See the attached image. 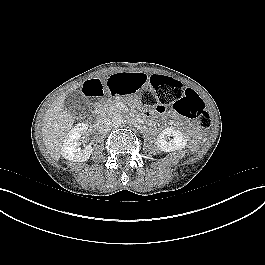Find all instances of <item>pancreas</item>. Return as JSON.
<instances>
[{
	"label": "pancreas",
	"mask_w": 265,
	"mask_h": 265,
	"mask_svg": "<svg viewBox=\"0 0 265 265\" xmlns=\"http://www.w3.org/2000/svg\"><path fill=\"white\" fill-rule=\"evenodd\" d=\"M111 103H105L103 104L100 108H98V113L102 114V115H107L110 113L111 111Z\"/></svg>",
	"instance_id": "obj_1"
}]
</instances>
